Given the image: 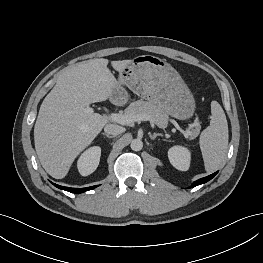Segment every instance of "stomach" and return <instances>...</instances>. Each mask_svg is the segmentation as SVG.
Segmentation results:
<instances>
[{"label":"stomach","mask_w":263,"mask_h":263,"mask_svg":"<svg viewBox=\"0 0 263 263\" xmlns=\"http://www.w3.org/2000/svg\"><path fill=\"white\" fill-rule=\"evenodd\" d=\"M124 87L179 120L191 118L196 109L194 97L179 73L152 55L135 57L119 73L112 94L121 101L128 96Z\"/></svg>","instance_id":"obj_1"}]
</instances>
